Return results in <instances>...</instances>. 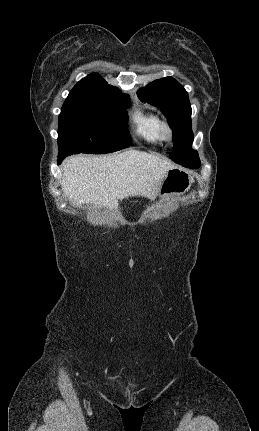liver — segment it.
I'll use <instances>...</instances> for the list:
<instances>
[{"instance_id":"6515ba94","label":"liver","mask_w":259,"mask_h":431,"mask_svg":"<svg viewBox=\"0 0 259 431\" xmlns=\"http://www.w3.org/2000/svg\"><path fill=\"white\" fill-rule=\"evenodd\" d=\"M171 162L133 149L109 156L75 155L63 165L61 187L76 206L118 208V199L142 196L153 200Z\"/></svg>"}]
</instances>
